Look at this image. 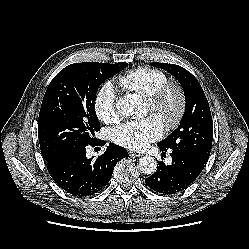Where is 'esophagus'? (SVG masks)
<instances>
[{"instance_id": "esophagus-1", "label": "esophagus", "mask_w": 249, "mask_h": 249, "mask_svg": "<svg viewBox=\"0 0 249 249\" xmlns=\"http://www.w3.org/2000/svg\"><path fill=\"white\" fill-rule=\"evenodd\" d=\"M129 155H130V156H135V157H140V156H142V154L137 153V152H133V151H129Z\"/></svg>"}]
</instances>
